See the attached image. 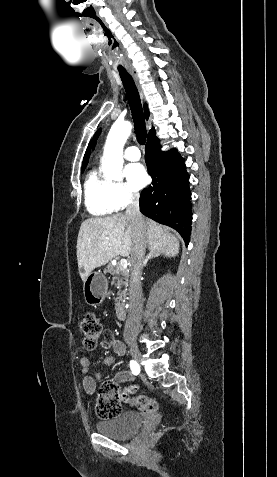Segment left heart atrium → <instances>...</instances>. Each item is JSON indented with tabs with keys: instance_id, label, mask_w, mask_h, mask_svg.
<instances>
[{
	"instance_id": "1",
	"label": "left heart atrium",
	"mask_w": 277,
	"mask_h": 477,
	"mask_svg": "<svg viewBox=\"0 0 277 477\" xmlns=\"http://www.w3.org/2000/svg\"><path fill=\"white\" fill-rule=\"evenodd\" d=\"M125 174L133 189H141L148 181V175L143 165L130 164L125 169Z\"/></svg>"
}]
</instances>
